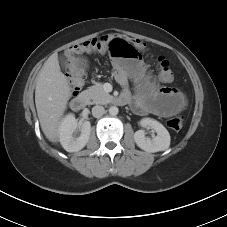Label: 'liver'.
Here are the masks:
<instances>
[{"instance_id": "6515ba94", "label": "liver", "mask_w": 227, "mask_h": 227, "mask_svg": "<svg viewBox=\"0 0 227 227\" xmlns=\"http://www.w3.org/2000/svg\"><path fill=\"white\" fill-rule=\"evenodd\" d=\"M71 97V88L61 72L58 57L51 55L37 76L35 104L41 129L46 138L56 143L61 118Z\"/></svg>"}]
</instances>
